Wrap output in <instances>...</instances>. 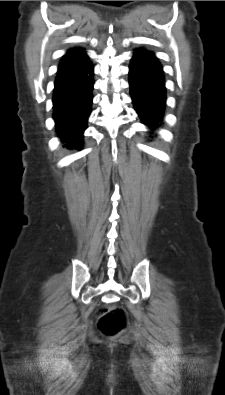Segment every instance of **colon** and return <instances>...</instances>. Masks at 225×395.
Segmentation results:
<instances>
[{"label": "colon", "mask_w": 225, "mask_h": 395, "mask_svg": "<svg viewBox=\"0 0 225 395\" xmlns=\"http://www.w3.org/2000/svg\"><path fill=\"white\" fill-rule=\"evenodd\" d=\"M98 329L107 337H115L123 332L128 324L125 309L119 306L101 308L97 311Z\"/></svg>", "instance_id": "1"}]
</instances>
